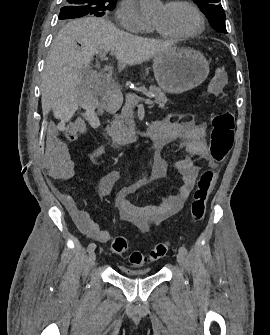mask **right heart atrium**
Segmentation results:
<instances>
[{"label":"right heart atrium","instance_id":"obj_1","mask_svg":"<svg viewBox=\"0 0 270 335\" xmlns=\"http://www.w3.org/2000/svg\"><path fill=\"white\" fill-rule=\"evenodd\" d=\"M115 20L124 30L150 34L151 25L141 16L135 0H123L116 11Z\"/></svg>","mask_w":270,"mask_h":335}]
</instances>
